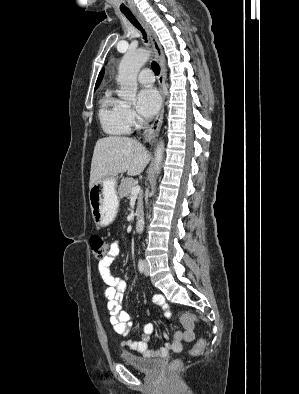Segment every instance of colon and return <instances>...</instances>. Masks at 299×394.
Masks as SVG:
<instances>
[{"instance_id":"colon-1","label":"colon","mask_w":299,"mask_h":394,"mask_svg":"<svg viewBox=\"0 0 299 394\" xmlns=\"http://www.w3.org/2000/svg\"><path fill=\"white\" fill-rule=\"evenodd\" d=\"M90 248L95 259L103 260L109 253L110 243L100 235H92L89 239ZM206 346L204 339H199L189 350V354L193 357L199 356ZM182 365L181 359L174 360L171 365V370H176Z\"/></svg>"}]
</instances>
